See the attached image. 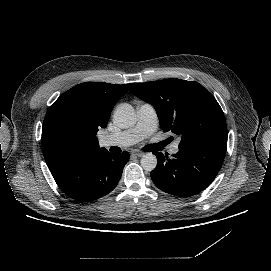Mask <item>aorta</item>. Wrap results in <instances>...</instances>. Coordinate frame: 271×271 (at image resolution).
I'll return each instance as SVG.
<instances>
[{"label":"aorta","instance_id":"762f6f07","mask_svg":"<svg viewBox=\"0 0 271 271\" xmlns=\"http://www.w3.org/2000/svg\"><path fill=\"white\" fill-rule=\"evenodd\" d=\"M113 121L121 128L134 126L137 122V116L133 106L128 103L119 104L114 112ZM140 163L145 171L150 172L156 168L157 158L148 152L142 156Z\"/></svg>","mask_w":271,"mask_h":271}]
</instances>
